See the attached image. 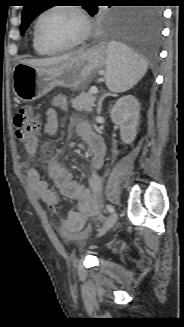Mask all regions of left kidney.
Segmentation results:
<instances>
[{
	"mask_svg": "<svg viewBox=\"0 0 184 327\" xmlns=\"http://www.w3.org/2000/svg\"><path fill=\"white\" fill-rule=\"evenodd\" d=\"M139 112L140 104L133 95L118 99L111 110V120L120 127L121 140L126 144H131L136 138Z\"/></svg>",
	"mask_w": 184,
	"mask_h": 327,
	"instance_id": "5707ae66",
	"label": "left kidney"
}]
</instances>
